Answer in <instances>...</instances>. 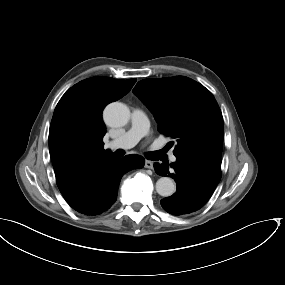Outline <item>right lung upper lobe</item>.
<instances>
[{
  "label": "right lung upper lobe",
  "mask_w": 285,
  "mask_h": 285,
  "mask_svg": "<svg viewBox=\"0 0 285 285\" xmlns=\"http://www.w3.org/2000/svg\"><path fill=\"white\" fill-rule=\"evenodd\" d=\"M136 79L92 77L72 86L58 102L49 130V152L60 192L112 153L103 148L104 107L126 95Z\"/></svg>",
  "instance_id": "1"
}]
</instances>
